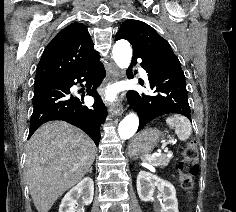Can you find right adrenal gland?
<instances>
[{
    "instance_id": "2a0ac1e0",
    "label": "right adrenal gland",
    "mask_w": 236,
    "mask_h": 212,
    "mask_svg": "<svg viewBox=\"0 0 236 212\" xmlns=\"http://www.w3.org/2000/svg\"><path fill=\"white\" fill-rule=\"evenodd\" d=\"M87 173H92V166L88 169Z\"/></svg>"
}]
</instances>
